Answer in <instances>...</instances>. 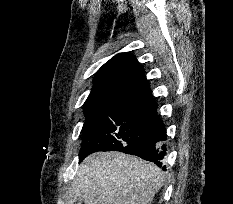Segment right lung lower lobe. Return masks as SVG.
I'll use <instances>...</instances> for the list:
<instances>
[{
  "label": "right lung lower lobe",
  "mask_w": 233,
  "mask_h": 204,
  "mask_svg": "<svg viewBox=\"0 0 233 204\" xmlns=\"http://www.w3.org/2000/svg\"><path fill=\"white\" fill-rule=\"evenodd\" d=\"M164 140H166L165 131H163L159 135L151 136L146 139L135 142L133 144L124 146L123 148L117 149L116 151H122L127 154L137 155L145 160L154 162L159 167H162L161 160L163 159L166 153V147L165 145H162L161 152L159 148H160V142ZM96 151H110V150H106L105 148L89 147L88 145L82 146L79 154L80 161H82L89 154ZM163 169H165V167H163Z\"/></svg>",
  "instance_id": "1"
}]
</instances>
